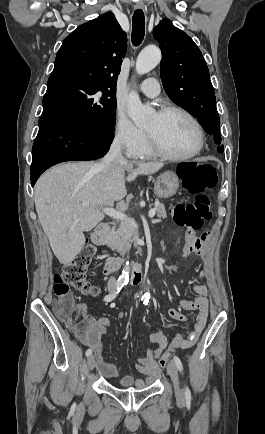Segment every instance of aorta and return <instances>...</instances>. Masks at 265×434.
Segmentation results:
<instances>
[{
    "label": "aorta",
    "instance_id": "1",
    "mask_svg": "<svg viewBox=\"0 0 265 434\" xmlns=\"http://www.w3.org/2000/svg\"><path fill=\"white\" fill-rule=\"evenodd\" d=\"M161 60V52L156 46H147L142 52H140L136 60V72L139 76L148 74L151 70H154L158 66ZM127 110L128 116L133 120L135 126H145L148 120L152 118V108L149 106H143L137 92H130L127 98ZM130 276V262H125V266L122 270L120 280L122 282H128Z\"/></svg>",
    "mask_w": 265,
    "mask_h": 434
}]
</instances>
